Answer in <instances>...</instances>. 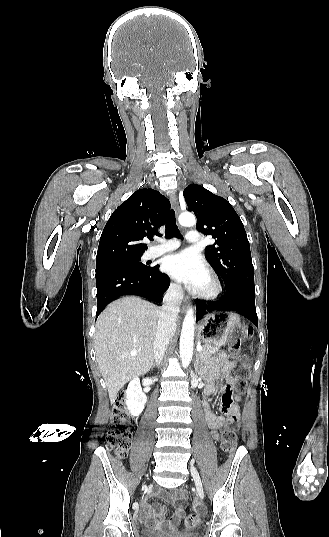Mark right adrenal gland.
<instances>
[{"instance_id": "2a0ac1e0", "label": "right adrenal gland", "mask_w": 329, "mask_h": 537, "mask_svg": "<svg viewBox=\"0 0 329 537\" xmlns=\"http://www.w3.org/2000/svg\"><path fill=\"white\" fill-rule=\"evenodd\" d=\"M155 366H158V364H153V365H152V368L155 367Z\"/></svg>"}]
</instances>
